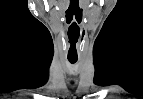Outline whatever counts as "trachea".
<instances>
[{"mask_svg": "<svg viewBox=\"0 0 143 99\" xmlns=\"http://www.w3.org/2000/svg\"><path fill=\"white\" fill-rule=\"evenodd\" d=\"M71 64L76 63L77 60H69Z\"/></svg>", "mask_w": 143, "mask_h": 99, "instance_id": "1", "label": "trachea"}]
</instances>
